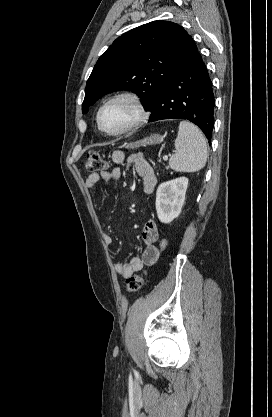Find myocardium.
<instances>
[{"label": "myocardium", "instance_id": "obj_1", "mask_svg": "<svg viewBox=\"0 0 272 417\" xmlns=\"http://www.w3.org/2000/svg\"><path fill=\"white\" fill-rule=\"evenodd\" d=\"M118 100H127L131 102L137 111V116L135 120L129 125H127L126 127L118 131H113V132L107 131L102 125L103 112L107 106H109L111 103L118 101ZM148 117H149V112L143 100L141 99V97L135 92L123 91V92L114 94L102 104V106L99 108V111L97 113V125H98L99 130L102 133L108 136L115 137V136H121V135H124V134H127L129 132L136 130L137 128H139L141 125H143L146 122Z\"/></svg>", "mask_w": 272, "mask_h": 417}]
</instances>
